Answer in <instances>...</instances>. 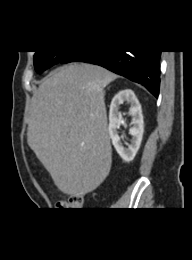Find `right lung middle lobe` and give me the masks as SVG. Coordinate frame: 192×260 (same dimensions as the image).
I'll list each match as a JSON object with an SVG mask.
<instances>
[{
    "mask_svg": "<svg viewBox=\"0 0 192 260\" xmlns=\"http://www.w3.org/2000/svg\"><path fill=\"white\" fill-rule=\"evenodd\" d=\"M69 51H36L34 55V68L42 73L49 67L61 62Z\"/></svg>",
    "mask_w": 192,
    "mask_h": 260,
    "instance_id": "obj_1",
    "label": "right lung middle lobe"
}]
</instances>
